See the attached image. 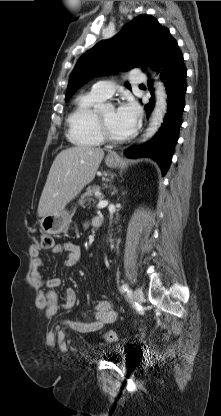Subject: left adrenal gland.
<instances>
[{"mask_svg": "<svg viewBox=\"0 0 221 416\" xmlns=\"http://www.w3.org/2000/svg\"><path fill=\"white\" fill-rule=\"evenodd\" d=\"M117 191L114 189L113 193H116Z\"/></svg>", "mask_w": 221, "mask_h": 416, "instance_id": "left-adrenal-gland-1", "label": "left adrenal gland"}]
</instances>
